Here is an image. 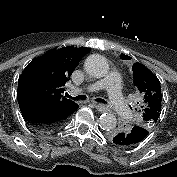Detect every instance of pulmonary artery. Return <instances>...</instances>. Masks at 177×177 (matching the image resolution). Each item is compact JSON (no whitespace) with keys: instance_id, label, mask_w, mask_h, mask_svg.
I'll list each match as a JSON object with an SVG mask.
<instances>
[{"instance_id":"obj_1","label":"pulmonary artery","mask_w":177,"mask_h":177,"mask_svg":"<svg viewBox=\"0 0 177 177\" xmlns=\"http://www.w3.org/2000/svg\"><path fill=\"white\" fill-rule=\"evenodd\" d=\"M103 88H107L108 90V99L112 107L119 113L126 114L128 109L125 106L121 93V76L117 71H112L106 79L90 84L83 89H71L70 92L72 94H78L82 91L96 92Z\"/></svg>"}]
</instances>
